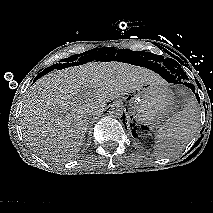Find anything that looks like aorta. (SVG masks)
Listing matches in <instances>:
<instances>
[{
    "label": "aorta",
    "mask_w": 213,
    "mask_h": 213,
    "mask_svg": "<svg viewBox=\"0 0 213 213\" xmlns=\"http://www.w3.org/2000/svg\"><path fill=\"white\" fill-rule=\"evenodd\" d=\"M125 112V107L122 103L114 102L109 109V115L113 118H121Z\"/></svg>",
    "instance_id": "obj_1"
}]
</instances>
